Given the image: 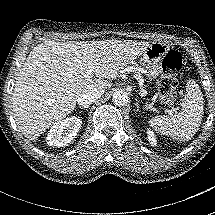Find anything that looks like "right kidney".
I'll return each mask as SVG.
<instances>
[{
  "label": "right kidney",
  "instance_id": "obj_1",
  "mask_svg": "<svg viewBox=\"0 0 215 215\" xmlns=\"http://www.w3.org/2000/svg\"><path fill=\"white\" fill-rule=\"evenodd\" d=\"M81 124L82 119L78 116L58 121L50 128L46 139L47 144L56 147L66 146L76 137Z\"/></svg>",
  "mask_w": 215,
  "mask_h": 215
}]
</instances>
